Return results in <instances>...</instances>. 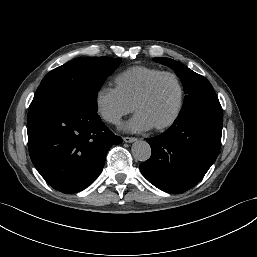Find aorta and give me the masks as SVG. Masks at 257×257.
Returning <instances> with one entry per match:
<instances>
[{"mask_svg":"<svg viewBox=\"0 0 257 257\" xmlns=\"http://www.w3.org/2000/svg\"><path fill=\"white\" fill-rule=\"evenodd\" d=\"M131 151L133 156L141 162L148 160L151 156L150 145L143 140L134 142Z\"/></svg>","mask_w":257,"mask_h":257,"instance_id":"762f6f07","label":"aorta"}]
</instances>
